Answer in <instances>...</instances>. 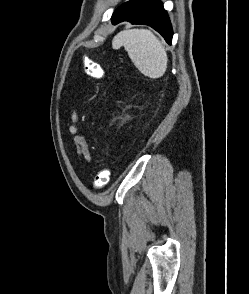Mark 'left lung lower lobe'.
Instances as JSON below:
<instances>
[{
	"mask_svg": "<svg viewBox=\"0 0 249 294\" xmlns=\"http://www.w3.org/2000/svg\"><path fill=\"white\" fill-rule=\"evenodd\" d=\"M112 23L130 21L132 24H145L153 27L166 40L172 41L170 20L160 0H130L125 2L112 15Z\"/></svg>",
	"mask_w": 249,
	"mask_h": 294,
	"instance_id": "left-lung-lower-lobe-1",
	"label": "left lung lower lobe"
}]
</instances>
